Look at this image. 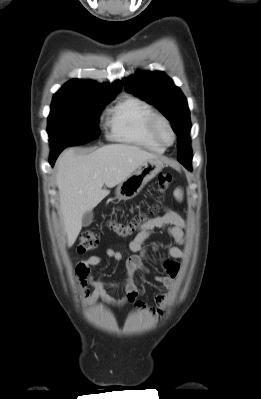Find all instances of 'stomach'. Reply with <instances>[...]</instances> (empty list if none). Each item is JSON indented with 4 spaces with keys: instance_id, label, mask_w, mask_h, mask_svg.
Here are the masks:
<instances>
[{
    "instance_id": "stomach-1",
    "label": "stomach",
    "mask_w": 261,
    "mask_h": 399,
    "mask_svg": "<svg viewBox=\"0 0 261 399\" xmlns=\"http://www.w3.org/2000/svg\"><path fill=\"white\" fill-rule=\"evenodd\" d=\"M163 169L160 159H149L142 163L129 177L118 184L115 194L119 200L137 196L144 186Z\"/></svg>"
}]
</instances>
